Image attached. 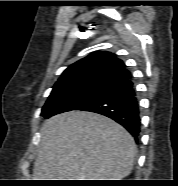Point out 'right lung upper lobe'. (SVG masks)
I'll return each instance as SVG.
<instances>
[{"mask_svg":"<svg viewBox=\"0 0 178 186\" xmlns=\"http://www.w3.org/2000/svg\"><path fill=\"white\" fill-rule=\"evenodd\" d=\"M130 76L122 60L110 52H94L70 65L52 91L86 84L111 85Z\"/></svg>","mask_w":178,"mask_h":186,"instance_id":"right-lung-upper-lobe-1","label":"right lung upper lobe"}]
</instances>
